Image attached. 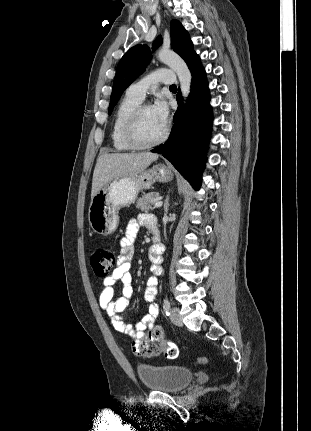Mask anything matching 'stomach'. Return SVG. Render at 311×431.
<instances>
[{
	"label": "stomach",
	"instance_id": "obj_1",
	"mask_svg": "<svg viewBox=\"0 0 311 431\" xmlns=\"http://www.w3.org/2000/svg\"><path fill=\"white\" fill-rule=\"evenodd\" d=\"M171 180L173 172L164 164L152 166L150 170H144L136 178L113 180L101 188L90 202L88 221L91 229L100 235L114 233L120 221V208H129L136 202L139 192L150 190L154 182L165 184Z\"/></svg>",
	"mask_w": 311,
	"mask_h": 431
}]
</instances>
